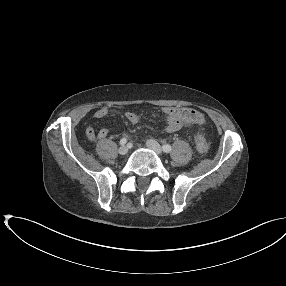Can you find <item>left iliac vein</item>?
<instances>
[{
	"label": "left iliac vein",
	"instance_id": "obj_1",
	"mask_svg": "<svg viewBox=\"0 0 286 286\" xmlns=\"http://www.w3.org/2000/svg\"><path fill=\"white\" fill-rule=\"evenodd\" d=\"M147 146L154 150L158 155L162 154V148L160 147L159 143L153 139H149L146 142Z\"/></svg>",
	"mask_w": 286,
	"mask_h": 286
}]
</instances>
